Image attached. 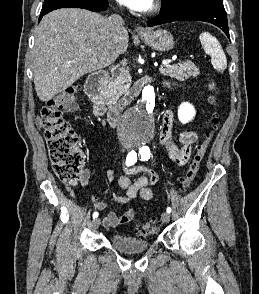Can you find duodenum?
Instances as JSON below:
<instances>
[{
    "label": "duodenum",
    "instance_id": "1",
    "mask_svg": "<svg viewBox=\"0 0 259 294\" xmlns=\"http://www.w3.org/2000/svg\"><path fill=\"white\" fill-rule=\"evenodd\" d=\"M107 77V71L101 70L93 72L86 81L85 90L94 104L95 115L97 117L106 116L109 123L115 127L119 123L121 109L120 107H108L107 95L104 89V83ZM145 83H147L146 80L136 82L130 91L129 99L139 95Z\"/></svg>",
    "mask_w": 259,
    "mask_h": 294
}]
</instances>
